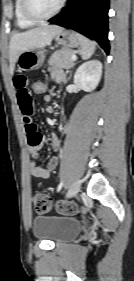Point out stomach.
<instances>
[{
	"mask_svg": "<svg viewBox=\"0 0 134 281\" xmlns=\"http://www.w3.org/2000/svg\"><path fill=\"white\" fill-rule=\"evenodd\" d=\"M54 39L65 48H76L80 45V35L70 30L62 29ZM44 59L45 54L42 50H28L18 55L16 64L19 71H31L39 69L43 65Z\"/></svg>",
	"mask_w": 134,
	"mask_h": 281,
	"instance_id": "stomach-1",
	"label": "stomach"
}]
</instances>
